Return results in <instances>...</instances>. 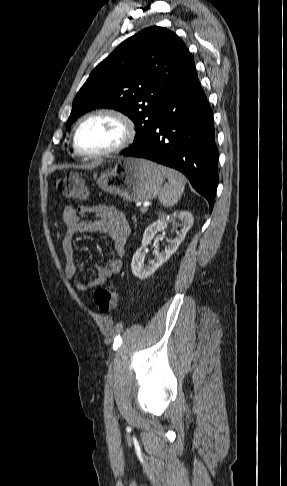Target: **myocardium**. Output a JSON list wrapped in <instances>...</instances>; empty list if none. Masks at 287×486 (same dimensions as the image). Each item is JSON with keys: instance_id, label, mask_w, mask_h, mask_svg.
I'll list each match as a JSON object with an SVG mask.
<instances>
[{"instance_id": "f54148a6", "label": "myocardium", "mask_w": 287, "mask_h": 486, "mask_svg": "<svg viewBox=\"0 0 287 486\" xmlns=\"http://www.w3.org/2000/svg\"><path fill=\"white\" fill-rule=\"evenodd\" d=\"M98 116H108L116 119L122 126L123 135L121 140L113 147L101 152H85L77 144V133L83 123ZM136 129L132 119L124 112L113 108H100L83 115L75 124L72 131V147L75 153L88 159H98L118 153L127 148L134 140Z\"/></svg>"}]
</instances>
